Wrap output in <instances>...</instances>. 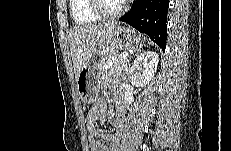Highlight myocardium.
I'll return each mask as SVG.
<instances>
[{"instance_id":"f54148a6","label":"myocardium","mask_w":231,"mask_h":151,"mask_svg":"<svg viewBox=\"0 0 231 151\" xmlns=\"http://www.w3.org/2000/svg\"><path fill=\"white\" fill-rule=\"evenodd\" d=\"M90 6L92 13L103 21L115 20L121 17L127 9V4L122 3L116 12L108 13L103 9L102 0H91Z\"/></svg>"}]
</instances>
